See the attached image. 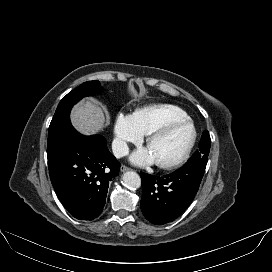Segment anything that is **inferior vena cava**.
I'll use <instances>...</instances> for the list:
<instances>
[{
    "label": "inferior vena cava",
    "mask_w": 272,
    "mask_h": 272,
    "mask_svg": "<svg viewBox=\"0 0 272 272\" xmlns=\"http://www.w3.org/2000/svg\"><path fill=\"white\" fill-rule=\"evenodd\" d=\"M112 151L116 158H121L129 153V148L125 141L114 139L112 142Z\"/></svg>",
    "instance_id": "1"
}]
</instances>
